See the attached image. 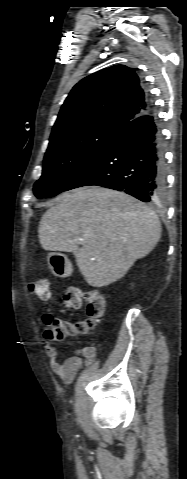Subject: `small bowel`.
<instances>
[{"label": "small bowel", "mask_w": 187, "mask_h": 479, "mask_svg": "<svg viewBox=\"0 0 187 479\" xmlns=\"http://www.w3.org/2000/svg\"><path fill=\"white\" fill-rule=\"evenodd\" d=\"M52 341L54 340L45 337L42 345L50 359V369L65 383H70L74 379L81 371L83 364L91 365L95 361L96 351L92 346L79 347L73 351L71 356L60 361L58 360L57 349Z\"/></svg>", "instance_id": "c3829d8e"}]
</instances>
